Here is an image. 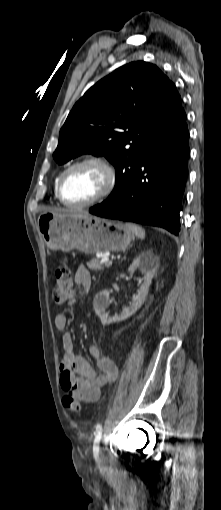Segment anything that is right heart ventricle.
I'll use <instances>...</instances> for the list:
<instances>
[{"label":"right heart ventricle","instance_id":"right-heart-ventricle-1","mask_svg":"<svg viewBox=\"0 0 221 510\" xmlns=\"http://www.w3.org/2000/svg\"><path fill=\"white\" fill-rule=\"evenodd\" d=\"M59 177L60 176L56 177L55 182H54V193L56 196H57V183H58Z\"/></svg>","mask_w":221,"mask_h":510}]
</instances>
